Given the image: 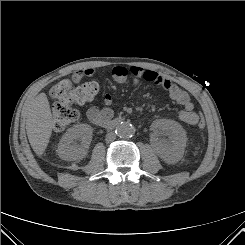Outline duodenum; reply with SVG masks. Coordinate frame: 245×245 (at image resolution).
I'll list each match as a JSON object with an SVG mask.
<instances>
[{
  "instance_id": "duodenum-1",
  "label": "duodenum",
  "mask_w": 245,
  "mask_h": 245,
  "mask_svg": "<svg viewBox=\"0 0 245 245\" xmlns=\"http://www.w3.org/2000/svg\"><path fill=\"white\" fill-rule=\"evenodd\" d=\"M122 119L118 118V119H113V120H109L106 122H103L101 126L105 127V128H115L116 126H118L121 123Z\"/></svg>"
}]
</instances>
